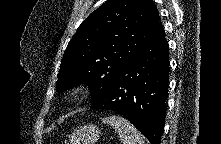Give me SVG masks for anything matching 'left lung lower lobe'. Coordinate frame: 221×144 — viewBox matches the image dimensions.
<instances>
[{
  "label": "left lung lower lobe",
  "instance_id": "1",
  "mask_svg": "<svg viewBox=\"0 0 221 144\" xmlns=\"http://www.w3.org/2000/svg\"><path fill=\"white\" fill-rule=\"evenodd\" d=\"M169 65V46L161 26L148 44L119 71L91 109H107L123 115L151 144H160Z\"/></svg>",
  "mask_w": 221,
  "mask_h": 144
}]
</instances>
